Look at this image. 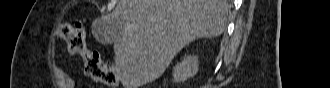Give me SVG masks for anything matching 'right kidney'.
Segmentation results:
<instances>
[{
  "mask_svg": "<svg viewBox=\"0 0 330 88\" xmlns=\"http://www.w3.org/2000/svg\"><path fill=\"white\" fill-rule=\"evenodd\" d=\"M198 66L199 62L197 56L190 55L184 57V59L174 67L173 82H183L194 76L198 71Z\"/></svg>",
  "mask_w": 330,
  "mask_h": 88,
  "instance_id": "right-kidney-1",
  "label": "right kidney"
}]
</instances>
